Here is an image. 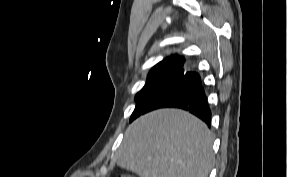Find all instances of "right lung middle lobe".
<instances>
[{
	"mask_svg": "<svg viewBox=\"0 0 287 177\" xmlns=\"http://www.w3.org/2000/svg\"><path fill=\"white\" fill-rule=\"evenodd\" d=\"M181 67V62L180 61H165L162 63H158L155 65L151 71L148 74V78L146 81V84L144 87L137 93L135 96V101L137 102L143 95L144 93L161 77H163L165 74L176 70ZM133 116V114H132ZM131 116V118H132ZM131 120V119H130Z\"/></svg>",
	"mask_w": 287,
	"mask_h": 177,
	"instance_id": "obj_1",
	"label": "right lung middle lobe"
}]
</instances>
